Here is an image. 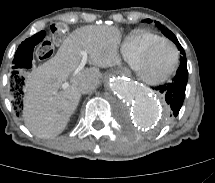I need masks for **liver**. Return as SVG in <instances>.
Returning a JSON list of instances; mask_svg holds the SVG:
<instances>
[{
	"mask_svg": "<svg viewBox=\"0 0 215 183\" xmlns=\"http://www.w3.org/2000/svg\"><path fill=\"white\" fill-rule=\"evenodd\" d=\"M121 34L116 27L88 25L73 31L61 44L56 55L38 66L25 84L23 119L37 137H56L66 128L81 99L79 85L84 81L100 82L98 67L118 62L117 48ZM86 51L95 67L74 75ZM69 80V86L62 85Z\"/></svg>",
	"mask_w": 215,
	"mask_h": 183,
	"instance_id": "6515ba94",
	"label": "liver"
}]
</instances>
